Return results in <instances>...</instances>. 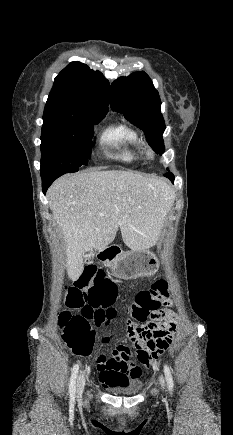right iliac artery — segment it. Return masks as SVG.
<instances>
[{
	"label": "right iliac artery",
	"mask_w": 233,
	"mask_h": 435,
	"mask_svg": "<svg viewBox=\"0 0 233 435\" xmlns=\"http://www.w3.org/2000/svg\"><path fill=\"white\" fill-rule=\"evenodd\" d=\"M79 366L78 364L74 365L71 372V378L69 383V394L71 397L75 396L76 391V378L78 374Z\"/></svg>",
	"instance_id": "1"
}]
</instances>
